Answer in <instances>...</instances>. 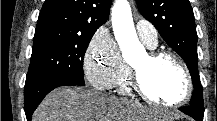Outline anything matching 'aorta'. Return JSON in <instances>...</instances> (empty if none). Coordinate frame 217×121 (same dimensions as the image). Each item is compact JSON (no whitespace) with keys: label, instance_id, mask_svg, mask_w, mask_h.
<instances>
[{"label":"aorta","instance_id":"aorta-1","mask_svg":"<svg viewBox=\"0 0 217 121\" xmlns=\"http://www.w3.org/2000/svg\"><path fill=\"white\" fill-rule=\"evenodd\" d=\"M112 27L115 38L126 61L133 59L142 50L128 0H116L112 8Z\"/></svg>","mask_w":217,"mask_h":121}]
</instances>
